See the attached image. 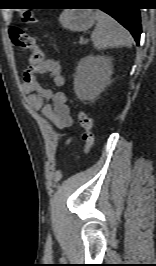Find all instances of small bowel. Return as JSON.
Wrapping results in <instances>:
<instances>
[{
	"label": "small bowel",
	"instance_id": "small-bowel-1",
	"mask_svg": "<svg viewBox=\"0 0 156 266\" xmlns=\"http://www.w3.org/2000/svg\"><path fill=\"white\" fill-rule=\"evenodd\" d=\"M61 70V62L55 58L30 66L24 72L22 90L29 96V104L33 109L41 111L57 129L67 130L72 126L73 119L66 95L43 87L37 79L38 74H48L54 84L61 87L65 83Z\"/></svg>",
	"mask_w": 156,
	"mask_h": 266
}]
</instances>
